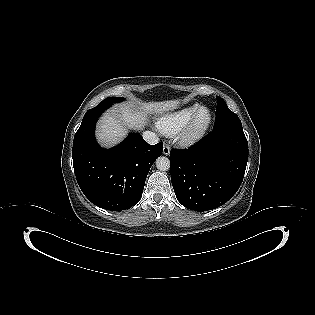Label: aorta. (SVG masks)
Masks as SVG:
<instances>
[{"label":"aorta","mask_w":315,"mask_h":315,"mask_svg":"<svg viewBox=\"0 0 315 315\" xmlns=\"http://www.w3.org/2000/svg\"><path fill=\"white\" fill-rule=\"evenodd\" d=\"M156 167L160 171H167L170 169V160L167 157L160 156L156 160Z\"/></svg>","instance_id":"aorta-1"}]
</instances>
